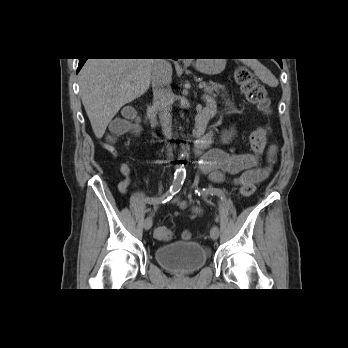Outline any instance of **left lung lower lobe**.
I'll return each mask as SVG.
<instances>
[{"instance_id": "0a47b994", "label": "left lung lower lobe", "mask_w": 348, "mask_h": 348, "mask_svg": "<svg viewBox=\"0 0 348 348\" xmlns=\"http://www.w3.org/2000/svg\"><path fill=\"white\" fill-rule=\"evenodd\" d=\"M278 63H279V65L282 67V61H281V59L280 60H276Z\"/></svg>"}]
</instances>
